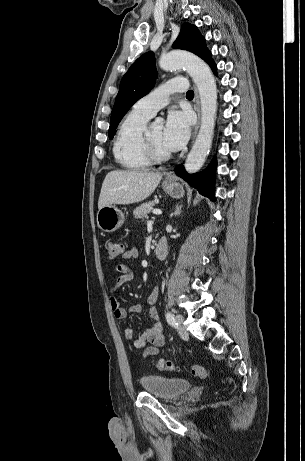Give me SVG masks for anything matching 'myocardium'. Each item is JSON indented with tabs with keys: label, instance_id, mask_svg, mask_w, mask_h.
I'll return each mask as SVG.
<instances>
[{
	"label": "myocardium",
	"instance_id": "1",
	"mask_svg": "<svg viewBox=\"0 0 305 461\" xmlns=\"http://www.w3.org/2000/svg\"><path fill=\"white\" fill-rule=\"evenodd\" d=\"M143 147L146 156L151 162L159 163L167 161L171 158L170 152H160L154 145L151 136L150 128L146 127L143 134Z\"/></svg>",
	"mask_w": 305,
	"mask_h": 461
}]
</instances>
